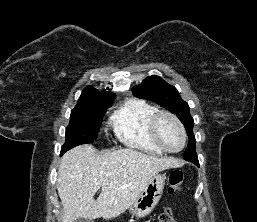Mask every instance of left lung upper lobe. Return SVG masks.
Here are the masks:
<instances>
[{
	"mask_svg": "<svg viewBox=\"0 0 257 222\" xmlns=\"http://www.w3.org/2000/svg\"><path fill=\"white\" fill-rule=\"evenodd\" d=\"M132 92L134 96L156 102L177 115L185 126L189 137L183 157L187 161L198 162L195 150L196 140L193 134L194 121L190 115L187 102L181 99L177 89L158 76H150L140 85L133 87Z\"/></svg>",
	"mask_w": 257,
	"mask_h": 222,
	"instance_id": "left-lung-upper-lobe-1",
	"label": "left lung upper lobe"
}]
</instances>
